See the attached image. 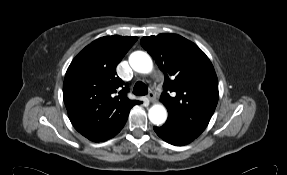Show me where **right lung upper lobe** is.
Masks as SVG:
<instances>
[{
	"label": "right lung upper lobe",
	"mask_w": 287,
	"mask_h": 175,
	"mask_svg": "<svg viewBox=\"0 0 287 175\" xmlns=\"http://www.w3.org/2000/svg\"><path fill=\"white\" fill-rule=\"evenodd\" d=\"M105 36L86 46L67 69L63 98L71 123L94 142L106 141L125 125L130 109L142 102L127 98L129 88L116 66L137 41Z\"/></svg>",
	"instance_id": "right-lung-upper-lobe-1"
}]
</instances>
